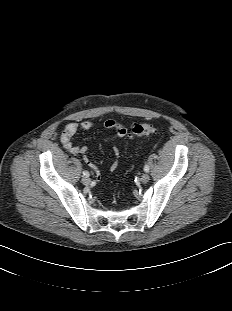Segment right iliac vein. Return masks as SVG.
<instances>
[{"instance_id":"1","label":"right iliac vein","mask_w":232,"mask_h":311,"mask_svg":"<svg viewBox=\"0 0 232 311\" xmlns=\"http://www.w3.org/2000/svg\"><path fill=\"white\" fill-rule=\"evenodd\" d=\"M82 183L84 185H89L91 183V179L89 177L85 176L82 178Z\"/></svg>"}]
</instances>
